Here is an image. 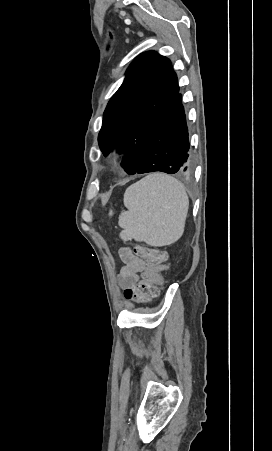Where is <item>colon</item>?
Instances as JSON below:
<instances>
[{
	"label": "colon",
	"instance_id": "5ec220e1",
	"mask_svg": "<svg viewBox=\"0 0 272 451\" xmlns=\"http://www.w3.org/2000/svg\"><path fill=\"white\" fill-rule=\"evenodd\" d=\"M132 258H144L151 262L153 266L144 274L142 280L138 281L134 286L128 288L124 292L126 301H135L146 303L150 298L155 296L159 287V278L154 265L158 264L162 270L168 269L169 265L165 264L168 259L166 252L155 248L141 249L137 247L131 250ZM164 261L163 265L161 263Z\"/></svg>",
	"mask_w": 272,
	"mask_h": 451
}]
</instances>
